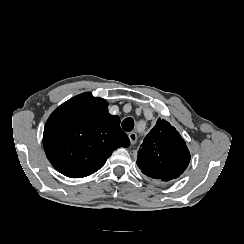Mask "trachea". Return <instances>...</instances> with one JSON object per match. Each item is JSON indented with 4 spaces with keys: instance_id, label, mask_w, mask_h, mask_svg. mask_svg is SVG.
Here are the masks:
<instances>
[{
    "instance_id": "trachea-1",
    "label": "trachea",
    "mask_w": 244,
    "mask_h": 244,
    "mask_svg": "<svg viewBox=\"0 0 244 244\" xmlns=\"http://www.w3.org/2000/svg\"><path fill=\"white\" fill-rule=\"evenodd\" d=\"M122 128L124 131H131L134 128V120L133 118H125L122 121Z\"/></svg>"
}]
</instances>
